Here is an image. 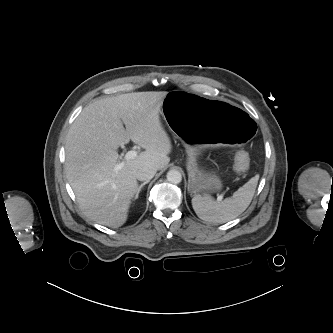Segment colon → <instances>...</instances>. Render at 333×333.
I'll return each instance as SVG.
<instances>
[{
    "instance_id": "5ec220e1",
    "label": "colon",
    "mask_w": 333,
    "mask_h": 333,
    "mask_svg": "<svg viewBox=\"0 0 333 333\" xmlns=\"http://www.w3.org/2000/svg\"><path fill=\"white\" fill-rule=\"evenodd\" d=\"M249 157L246 151L240 150L236 154V167L238 170L243 171L247 168Z\"/></svg>"
}]
</instances>
